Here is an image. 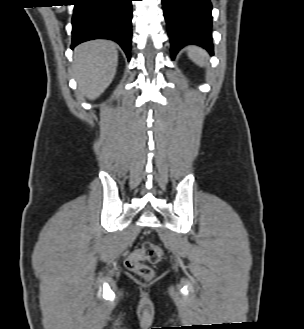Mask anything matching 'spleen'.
<instances>
[{
  "mask_svg": "<svg viewBox=\"0 0 304 329\" xmlns=\"http://www.w3.org/2000/svg\"><path fill=\"white\" fill-rule=\"evenodd\" d=\"M206 56V52L199 47L191 46L188 48V57L201 67L205 66Z\"/></svg>",
  "mask_w": 304,
  "mask_h": 329,
  "instance_id": "obj_1",
  "label": "spleen"
}]
</instances>
